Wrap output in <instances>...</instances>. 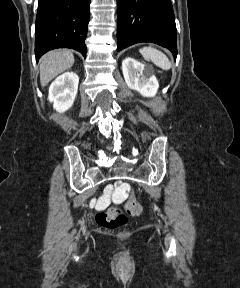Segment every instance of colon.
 I'll use <instances>...</instances> for the list:
<instances>
[{
  "instance_id": "obj_1",
  "label": "colon",
  "mask_w": 240,
  "mask_h": 288,
  "mask_svg": "<svg viewBox=\"0 0 240 288\" xmlns=\"http://www.w3.org/2000/svg\"><path fill=\"white\" fill-rule=\"evenodd\" d=\"M124 187L130 193V197L125 203L126 213L117 206L109 207L96 215V221L100 226L114 229L125 224L128 216H137L141 213V204L133 197L132 188L127 184Z\"/></svg>"
}]
</instances>
